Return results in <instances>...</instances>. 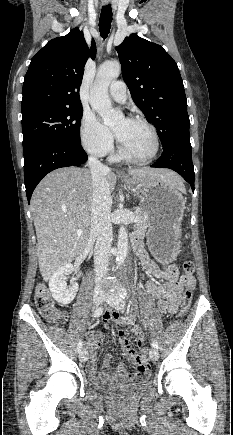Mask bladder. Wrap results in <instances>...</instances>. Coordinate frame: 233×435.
Returning a JSON list of instances; mask_svg holds the SVG:
<instances>
[{
  "mask_svg": "<svg viewBox=\"0 0 233 435\" xmlns=\"http://www.w3.org/2000/svg\"><path fill=\"white\" fill-rule=\"evenodd\" d=\"M150 379V374H145L142 379L137 380L133 383L112 381L106 382L96 387L97 390L101 392H118L120 390L126 389L127 392L132 390L147 389L149 387L148 380ZM131 390V391H130Z\"/></svg>",
  "mask_w": 233,
  "mask_h": 435,
  "instance_id": "31cf9c89",
  "label": "bladder"
}]
</instances>
